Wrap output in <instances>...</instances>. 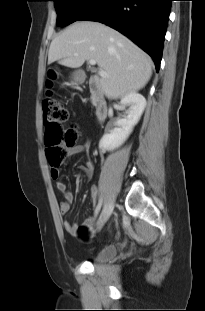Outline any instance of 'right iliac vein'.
<instances>
[{"instance_id": "obj_1", "label": "right iliac vein", "mask_w": 205, "mask_h": 311, "mask_svg": "<svg viewBox=\"0 0 205 311\" xmlns=\"http://www.w3.org/2000/svg\"><path fill=\"white\" fill-rule=\"evenodd\" d=\"M113 209H114V200L107 201L101 212L99 222H98V228H101L105 224V222L109 219V217L112 214Z\"/></svg>"}]
</instances>
